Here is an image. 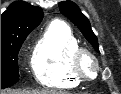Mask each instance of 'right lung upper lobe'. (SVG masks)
Instances as JSON below:
<instances>
[{
	"mask_svg": "<svg viewBox=\"0 0 121 94\" xmlns=\"http://www.w3.org/2000/svg\"><path fill=\"white\" fill-rule=\"evenodd\" d=\"M43 18L40 7L24 1L13 2L1 15V40L22 32H31Z\"/></svg>",
	"mask_w": 121,
	"mask_h": 94,
	"instance_id": "1",
	"label": "right lung upper lobe"
}]
</instances>
